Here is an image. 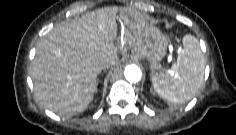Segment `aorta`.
I'll return each instance as SVG.
<instances>
[{
  "mask_svg": "<svg viewBox=\"0 0 236 135\" xmlns=\"http://www.w3.org/2000/svg\"><path fill=\"white\" fill-rule=\"evenodd\" d=\"M124 76L131 83L139 82L142 78V72L137 65L131 64L125 67Z\"/></svg>",
  "mask_w": 236,
  "mask_h": 135,
  "instance_id": "762f6f07",
  "label": "aorta"
}]
</instances>
